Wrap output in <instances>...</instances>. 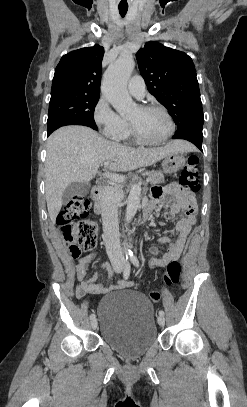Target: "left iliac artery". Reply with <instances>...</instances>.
I'll use <instances>...</instances> for the list:
<instances>
[{
	"label": "left iliac artery",
	"mask_w": 247,
	"mask_h": 407,
	"mask_svg": "<svg viewBox=\"0 0 247 407\" xmlns=\"http://www.w3.org/2000/svg\"><path fill=\"white\" fill-rule=\"evenodd\" d=\"M131 262L133 263L134 266L139 267V261L135 255L130 256ZM159 316H164V311L160 310L159 311Z\"/></svg>",
	"instance_id": "1"
}]
</instances>
